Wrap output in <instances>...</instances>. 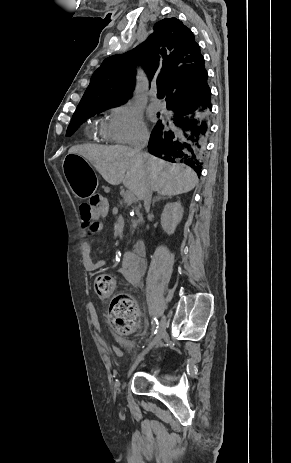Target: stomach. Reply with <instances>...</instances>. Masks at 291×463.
<instances>
[{"mask_svg":"<svg viewBox=\"0 0 291 463\" xmlns=\"http://www.w3.org/2000/svg\"><path fill=\"white\" fill-rule=\"evenodd\" d=\"M64 176L73 194L86 199L96 190V177L87 160L75 151H69L63 163Z\"/></svg>","mask_w":291,"mask_h":463,"instance_id":"0dacf381","label":"stomach"}]
</instances>
